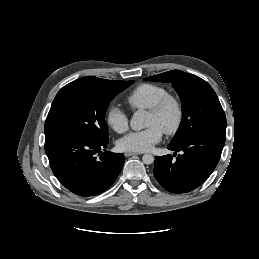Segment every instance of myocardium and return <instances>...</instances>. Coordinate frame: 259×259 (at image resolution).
Instances as JSON below:
<instances>
[{"label": "myocardium", "mask_w": 259, "mask_h": 259, "mask_svg": "<svg viewBox=\"0 0 259 259\" xmlns=\"http://www.w3.org/2000/svg\"><path fill=\"white\" fill-rule=\"evenodd\" d=\"M168 107H172L174 110V120L163 129V132L167 135H171L178 131L183 121L184 111L181 101L172 94H166L149 109V113L160 116Z\"/></svg>", "instance_id": "obj_1"}]
</instances>
